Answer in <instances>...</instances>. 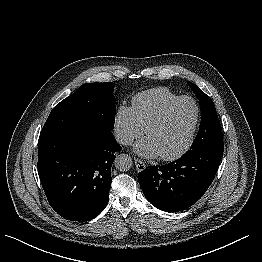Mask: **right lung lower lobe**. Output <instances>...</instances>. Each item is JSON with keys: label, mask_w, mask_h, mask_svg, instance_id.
Instances as JSON below:
<instances>
[{"label": "right lung lower lobe", "mask_w": 262, "mask_h": 262, "mask_svg": "<svg viewBox=\"0 0 262 262\" xmlns=\"http://www.w3.org/2000/svg\"><path fill=\"white\" fill-rule=\"evenodd\" d=\"M121 149L111 131H42L37 165L50 206L71 221L99 215L108 203L111 166Z\"/></svg>", "instance_id": "right-lung-lower-lobe-1"}]
</instances>
